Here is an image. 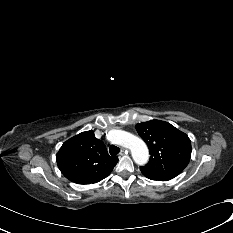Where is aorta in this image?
Wrapping results in <instances>:
<instances>
[{
    "instance_id": "1",
    "label": "aorta",
    "mask_w": 233,
    "mask_h": 233,
    "mask_svg": "<svg viewBox=\"0 0 233 233\" xmlns=\"http://www.w3.org/2000/svg\"><path fill=\"white\" fill-rule=\"evenodd\" d=\"M110 141L130 149L136 164L144 165L148 162L149 150L145 142L139 137L123 130H112L110 132Z\"/></svg>"
}]
</instances>
